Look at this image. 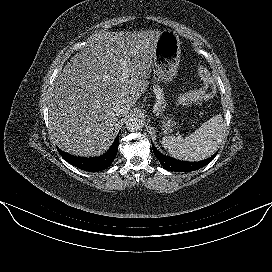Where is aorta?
<instances>
[{"mask_svg":"<svg viewBox=\"0 0 272 272\" xmlns=\"http://www.w3.org/2000/svg\"><path fill=\"white\" fill-rule=\"evenodd\" d=\"M143 128V123L140 118L132 117L126 122V129L130 132L139 131Z\"/></svg>","mask_w":272,"mask_h":272,"instance_id":"1","label":"aorta"}]
</instances>
